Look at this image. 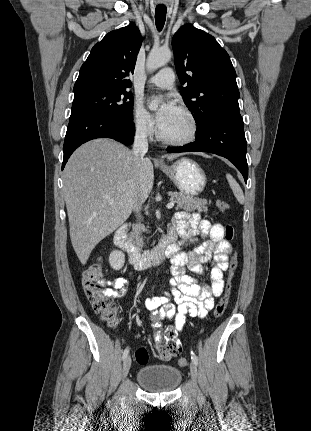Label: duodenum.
<instances>
[{
    "instance_id": "obj_1",
    "label": "duodenum",
    "mask_w": 311,
    "mask_h": 431,
    "mask_svg": "<svg viewBox=\"0 0 311 431\" xmlns=\"http://www.w3.org/2000/svg\"><path fill=\"white\" fill-rule=\"evenodd\" d=\"M177 234L174 230L168 232L158 246L151 250L140 248L136 243L127 239L126 226H120L114 234V242L130 258L133 265L146 267L151 263H160L170 258L174 251Z\"/></svg>"
}]
</instances>
